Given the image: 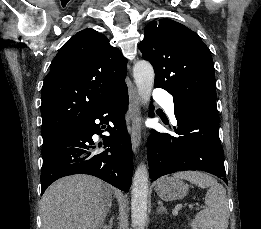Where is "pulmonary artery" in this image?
I'll list each match as a JSON object with an SVG mask.
<instances>
[{
  "mask_svg": "<svg viewBox=\"0 0 261 229\" xmlns=\"http://www.w3.org/2000/svg\"><path fill=\"white\" fill-rule=\"evenodd\" d=\"M153 99H161L157 100V105H161L163 112L165 115H169V118L173 124L177 123L174 108H175V100H172L171 92L166 91V89H154V94L152 95Z\"/></svg>",
  "mask_w": 261,
  "mask_h": 229,
  "instance_id": "obj_1",
  "label": "pulmonary artery"
}]
</instances>
